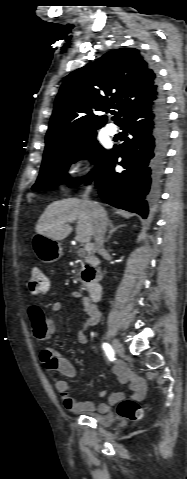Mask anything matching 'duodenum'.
I'll return each instance as SVG.
<instances>
[{"instance_id": "obj_1", "label": "duodenum", "mask_w": 187, "mask_h": 479, "mask_svg": "<svg viewBox=\"0 0 187 479\" xmlns=\"http://www.w3.org/2000/svg\"><path fill=\"white\" fill-rule=\"evenodd\" d=\"M98 265V260L95 257H89L86 263V272L85 281L88 284V296L92 302H97L100 300L102 295V286L96 279V270L95 267Z\"/></svg>"}]
</instances>
